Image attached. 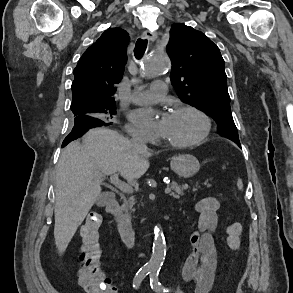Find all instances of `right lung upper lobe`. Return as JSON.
<instances>
[{
  "label": "right lung upper lobe",
  "instance_id": "cb5924a9",
  "mask_svg": "<svg viewBox=\"0 0 293 293\" xmlns=\"http://www.w3.org/2000/svg\"><path fill=\"white\" fill-rule=\"evenodd\" d=\"M129 35L121 28H109L79 59L74 69L71 109L75 117H95L93 108L115 104L114 93L126 64Z\"/></svg>",
  "mask_w": 293,
  "mask_h": 293
}]
</instances>
